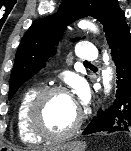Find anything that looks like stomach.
I'll return each mask as SVG.
<instances>
[{
  "instance_id": "0dacf381",
  "label": "stomach",
  "mask_w": 131,
  "mask_h": 151,
  "mask_svg": "<svg viewBox=\"0 0 131 151\" xmlns=\"http://www.w3.org/2000/svg\"><path fill=\"white\" fill-rule=\"evenodd\" d=\"M86 143L83 141H70L59 144L50 148L47 151H85Z\"/></svg>"
}]
</instances>
